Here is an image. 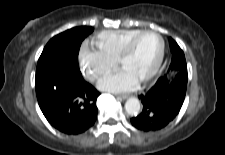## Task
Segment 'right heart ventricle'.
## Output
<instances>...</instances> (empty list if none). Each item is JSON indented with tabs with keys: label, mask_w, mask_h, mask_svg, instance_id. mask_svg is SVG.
I'll return each instance as SVG.
<instances>
[{
	"label": "right heart ventricle",
	"mask_w": 225,
	"mask_h": 155,
	"mask_svg": "<svg viewBox=\"0 0 225 155\" xmlns=\"http://www.w3.org/2000/svg\"><path fill=\"white\" fill-rule=\"evenodd\" d=\"M141 29L106 30L98 33L93 42L100 52L117 60L123 46Z\"/></svg>",
	"instance_id": "e07e8e85"
}]
</instances>
